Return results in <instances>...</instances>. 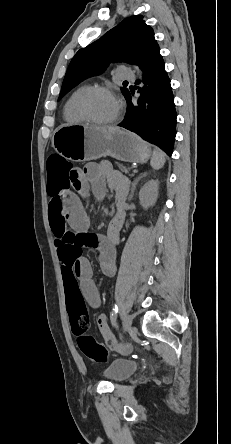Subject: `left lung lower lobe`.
<instances>
[{
  "mask_svg": "<svg viewBox=\"0 0 231 444\" xmlns=\"http://www.w3.org/2000/svg\"><path fill=\"white\" fill-rule=\"evenodd\" d=\"M141 70L145 85L138 90L141 93L138 103H132L128 91L125 95L127 112L119 126L137 133L171 156L176 136L177 114L170 79L165 71L160 49L151 56ZM131 92L134 93V89H131Z\"/></svg>",
  "mask_w": 231,
  "mask_h": 444,
  "instance_id": "0a47b994",
  "label": "left lung lower lobe"
}]
</instances>
